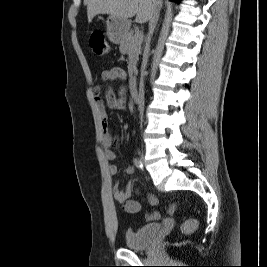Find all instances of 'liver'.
I'll use <instances>...</instances> for the list:
<instances>
[{
  "label": "liver",
  "mask_w": 267,
  "mask_h": 267,
  "mask_svg": "<svg viewBox=\"0 0 267 267\" xmlns=\"http://www.w3.org/2000/svg\"><path fill=\"white\" fill-rule=\"evenodd\" d=\"M84 4L87 6L89 23L99 14H109L122 19L136 15L137 23H146L156 7L154 0H84Z\"/></svg>",
  "instance_id": "6515ba94"
}]
</instances>
